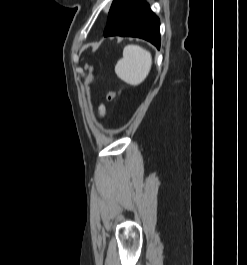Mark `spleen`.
Wrapping results in <instances>:
<instances>
[{
  "label": "spleen",
  "instance_id": "spleen-1",
  "mask_svg": "<svg viewBox=\"0 0 247 265\" xmlns=\"http://www.w3.org/2000/svg\"><path fill=\"white\" fill-rule=\"evenodd\" d=\"M151 65L149 51L138 45H127L123 50V58L115 66V73L127 84L137 86L146 79Z\"/></svg>",
  "mask_w": 247,
  "mask_h": 265
}]
</instances>
